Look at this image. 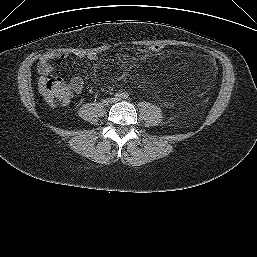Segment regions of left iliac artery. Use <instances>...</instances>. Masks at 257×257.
<instances>
[{"instance_id":"obj_1","label":"left iliac artery","mask_w":257,"mask_h":257,"mask_svg":"<svg viewBox=\"0 0 257 257\" xmlns=\"http://www.w3.org/2000/svg\"><path fill=\"white\" fill-rule=\"evenodd\" d=\"M122 96H123L124 99H127L129 97L128 93H126V92L123 93Z\"/></svg>"}]
</instances>
